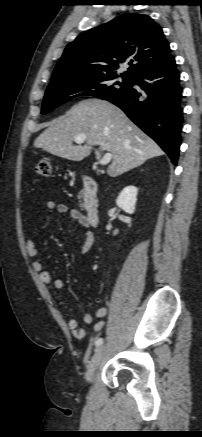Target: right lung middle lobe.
Returning a JSON list of instances; mask_svg holds the SVG:
<instances>
[{
    "mask_svg": "<svg viewBox=\"0 0 202 437\" xmlns=\"http://www.w3.org/2000/svg\"><path fill=\"white\" fill-rule=\"evenodd\" d=\"M116 73L71 77L52 81L46 90L42 114L78 96H95L104 100L124 93L132 85V76L121 74L122 82L115 81Z\"/></svg>",
    "mask_w": 202,
    "mask_h": 437,
    "instance_id": "right-lung-middle-lobe-1",
    "label": "right lung middle lobe"
}]
</instances>
